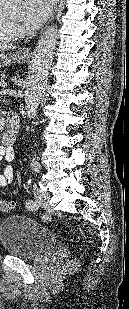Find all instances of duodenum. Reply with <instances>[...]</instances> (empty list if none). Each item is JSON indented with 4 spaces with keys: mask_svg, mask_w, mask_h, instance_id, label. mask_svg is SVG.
<instances>
[{
    "mask_svg": "<svg viewBox=\"0 0 129 309\" xmlns=\"http://www.w3.org/2000/svg\"><path fill=\"white\" fill-rule=\"evenodd\" d=\"M17 122L15 117H10L8 120V126L3 134V140L6 146H12L16 140L17 135Z\"/></svg>",
    "mask_w": 129,
    "mask_h": 309,
    "instance_id": "410a0bca",
    "label": "duodenum"
}]
</instances>
